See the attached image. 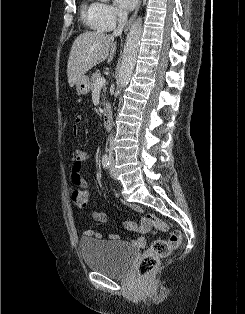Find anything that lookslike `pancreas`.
<instances>
[{"mask_svg": "<svg viewBox=\"0 0 245 314\" xmlns=\"http://www.w3.org/2000/svg\"><path fill=\"white\" fill-rule=\"evenodd\" d=\"M100 77H101V73L99 71H96L95 73L92 74L91 82H90V88L91 89L95 88L96 81ZM106 89H107L106 87L103 88L104 95L106 93Z\"/></svg>", "mask_w": 245, "mask_h": 314, "instance_id": "cf45deb5", "label": "pancreas"}]
</instances>
